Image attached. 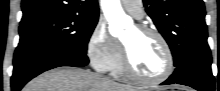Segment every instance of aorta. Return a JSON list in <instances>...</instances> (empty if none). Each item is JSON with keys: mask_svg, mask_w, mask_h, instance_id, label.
<instances>
[{"mask_svg": "<svg viewBox=\"0 0 220 91\" xmlns=\"http://www.w3.org/2000/svg\"><path fill=\"white\" fill-rule=\"evenodd\" d=\"M101 6L112 36H121L124 28L132 25L130 18L122 10L120 0H101Z\"/></svg>", "mask_w": 220, "mask_h": 91, "instance_id": "1", "label": "aorta"}]
</instances>
